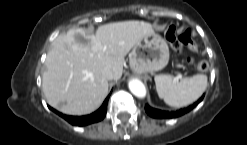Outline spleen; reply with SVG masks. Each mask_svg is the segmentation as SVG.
I'll use <instances>...</instances> for the list:
<instances>
[{
    "mask_svg": "<svg viewBox=\"0 0 247 145\" xmlns=\"http://www.w3.org/2000/svg\"><path fill=\"white\" fill-rule=\"evenodd\" d=\"M158 96L172 107H184L196 101L207 88V76L197 74L181 80L172 75L154 77Z\"/></svg>",
    "mask_w": 247,
    "mask_h": 145,
    "instance_id": "obj_1",
    "label": "spleen"
}]
</instances>
